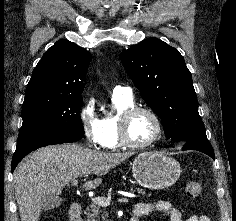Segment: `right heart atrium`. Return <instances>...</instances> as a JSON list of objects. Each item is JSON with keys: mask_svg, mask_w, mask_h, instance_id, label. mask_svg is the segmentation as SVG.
Returning <instances> with one entry per match:
<instances>
[{"mask_svg": "<svg viewBox=\"0 0 236 221\" xmlns=\"http://www.w3.org/2000/svg\"><path fill=\"white\" fill-rule=\"evenodd\" d=\"M79 120L83 134L89 144L93 147H103V130L101 119L96 110V103L93 98L87 99L79 110Z\"/></svg>", "mask_w": 236, "mask_h": 221, "instance_id": "d8ad5b80", "label": "right heart atrium"}]
</instances>
